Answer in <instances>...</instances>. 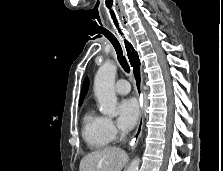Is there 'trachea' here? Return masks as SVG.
<instances>
[{
    "mask_svg": "<svg viewBox=\"0 0 223 171\" xmlns=\"http://www.w3.org/2000/svg\"><path fill=\"white\" fill-rule=\"evenodd\" d=\"M107 39L113 45V47H114V49L117 53V58H118V61H119L120 65L122 66V68L124 69L125 72L129 73L130 72V67H129V64H128L125 56L123 55V51H122V48H121V45H120L119 41L116 39L115 36L107 37Z\"/></svg>",
    "mask_w": 223,
    "mask_h": 171,
    "instance_id": "obj_1",
    "label": "trachea"
}]
</instances>
